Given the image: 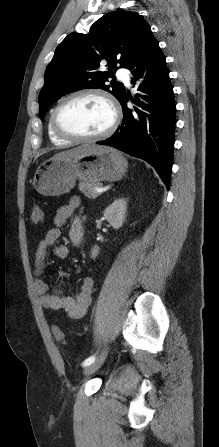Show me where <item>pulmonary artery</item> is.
<instances>
[{
  "label": "pulmonary artery",
  "mask_w": 219,
  "mask_h": 447,
  "mask_svg": "<svg viewBox=\"0 0 219 447\" xmlns=\"http://www.w3.org/2000/svg\"><path fill=\"white\" fill-rule=\"evenodd\" d=\"M117 75H118L119 77H121V78L123 79V81H125L126 83L129 82L128 73H127V71H126L125 69H123V68H119V69L117 70Z\"/></svg>",
  "instance_id": "obj_1"
}]
</instances>
